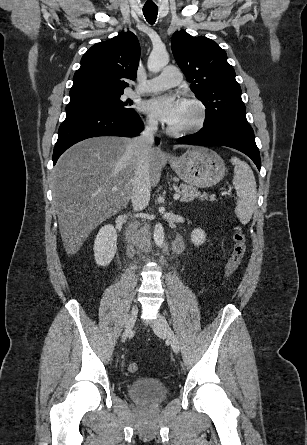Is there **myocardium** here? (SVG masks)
Returning <instances> with one entry per match:
<instances>
[{
	"label": "myocardium",
	"instance_id": "f54148a6",
	"mask_svg": "<svg viewBox=\"0 0 307 445\" xmlns=\"http://www.w3.org/2000/svg\"><path fill=\"white\" fill-rule=\"evenodd\" d=\"M186 103L193 106L197 112L196 119L180 128H174L172 126L169 127V131L173 134L178 135H187L191 133L198 132L201 130L207 123L209 119V111L204 102H202L199 98L192 96L186 100Z\"/></svg>",
	"mask_w": 307,
	"mask_h": 445
}]
</instances>
